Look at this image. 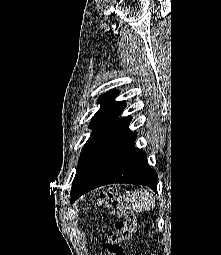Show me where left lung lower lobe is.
<instances>
[{
    "mask_svg": "<svg viewBox=\"0 0 221 255\" xmlns=\"http://www.w3.org/2000/svg\"><path fill=\"white\" fill-rule=\"evenodd\" d=\"M124 119L102 141L85 165L71 191V202L102 185L129 183L147 185L157 192V174L147 163V154L135 148L136 133Z\"/></svg>",
    "mask_w": 221,
    "mask_h": 255,
    "instance_id": "obj_1",
    "label": "left lung lower lobe"
}]
</instances>
